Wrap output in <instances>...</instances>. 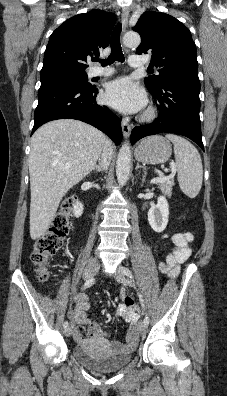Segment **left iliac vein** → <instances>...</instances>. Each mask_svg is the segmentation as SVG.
I'll return each instance as SVG.
<instances>
[{
  "label": "left iliac vein",
  "instance_id": "1",
  "mask_svg": "<svg viewBox=\"0 0 227 396\" xmlns=\"http://www.w3.org/2000/svg\"><path fill=\"white\" fill-rule=\"evenodd\" d=\"M114 278L120 282L124 283L125 282V274L123 272V267H119L116 273H114ZM139 333L141 335H145L147 333V325L144 324V322H141L139 325Z\"/></svg>",
  "mask_w": 227,
  "mask_h": 396
}]
</instances>
